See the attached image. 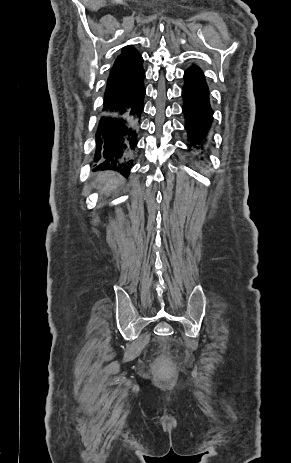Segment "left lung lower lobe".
I'll return each instance as SVG.
<instances>
[{
	"label": "left lung lower lobe",
	"mask_w": 291,
	"mask_h": 463,
	"mask_svg": "<svg viewBox=\"0 0 291 463\" xmlns=\"http://www.w3.org/2000/svg\"><path fill=\"white\" fill-rule=\"evenodd\" d=\"M182 88L185 116V130L188 136V147L191 151L202 154L209 140V133L213 122V110L210 106L209 89L203 72L195 67L188 68L184 73Z\"/></svg>",
	"instance_id": "1"
}]
</instances>
